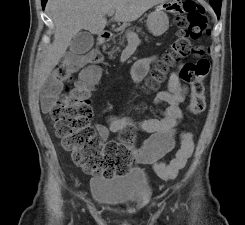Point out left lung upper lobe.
<instances>
[{
  "mask_svg": "<svg viewBox=\"0 0 245 225\" xmlns=\"http://www.w3.org/2000/svg\"><path fill=\"white\" fill-rule=\"evenodd\" d=\"M221 2H222V0H210V4L214 8V10L217 13L218 17L220 16Z\"/></svg>",
  "mask_w": 245,
  "mask_h": 225,
  "instance_id": "obj_1",
  "label": "left lung upper lobe"
}]
</instances>
